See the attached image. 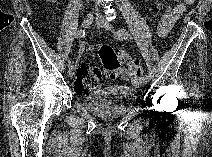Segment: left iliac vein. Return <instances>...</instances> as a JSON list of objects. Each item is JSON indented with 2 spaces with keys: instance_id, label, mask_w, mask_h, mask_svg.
Returning a JSON list of instances; mask_svg holds the SVG:
<instances>
[{
  "instance_id": "1",
  "label": "left iliac vein",
  "mask_w": 212,
  "mask_h": 157,
  "mask_svg": "<svg viewBox=\"0 0 212 157\" xmlns=\"http://www.w3.org/2000/svg\"><path fill=\"white\" fill-rule=\"evenodd\" d=\"M96 24L98 27H100L102 29L109 30V31L113 30V26L101 17H98L96 19ZM139 84L142 86H144L146 84V81L143 79V76H141L139 78Z\"/></svg>"
}]
</instances>
